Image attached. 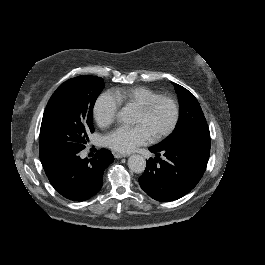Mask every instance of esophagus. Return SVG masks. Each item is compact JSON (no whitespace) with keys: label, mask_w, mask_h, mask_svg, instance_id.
<instances>
[{"label":"esophagus","mask_w":265,"mask_h":265,"mask_svg":"<svg viewBox=\"0 0 265 265\" xmlns=\"http://www.w3.org/2000/svg\"><path fill=\"white\" fill-rule=\"evenodd\" d=\"M114 157L115 158H123V157H127V155L126 154H123V153H115L114 154Z\"/></svg>","instance_id":"1"}]
</instances>
